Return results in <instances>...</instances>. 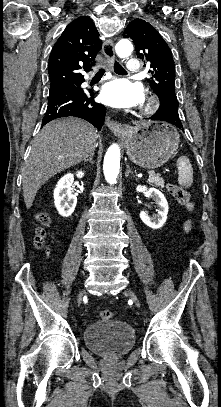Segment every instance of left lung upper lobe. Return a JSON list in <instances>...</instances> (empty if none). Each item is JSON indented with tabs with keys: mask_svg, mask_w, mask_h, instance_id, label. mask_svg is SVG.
Here are the masks:
<instances>
[{
	"mask_svg": "<svg viewBox=\"0 0 221 407\" xmlns=\"http://www.w3.org/2000/svg\"><path fill=\"white\" fill-rule=\"evenodd\" d=\"M123 36L133 40L138 57L150 65L148 82L160 99V105L178 116L174 61L167 43L152 25L142 19L133 20Z\"/></svg>",
	"mask_w": 221,
	"mask_h": 407,
	"instance_id": "obj_1",
	"label": "left lung upper lobe"
}]
</instances>
